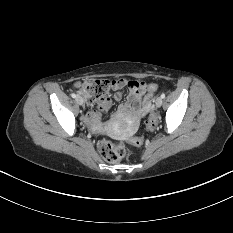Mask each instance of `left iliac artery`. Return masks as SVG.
<instances>
[{
    "instance_id": "44dca946",
    "label": "left iliac artery",
    "mask_w": 233,
    "mask_h": 233,
    "mask_svg": "<svg viewBox=\"0 0 233 233\" xmlns=\"http://www.w3.org/2000/svg\"><path fill=\"white\" fill-rule=\"evenodd\" d=\"M161 98L162 99L165 98V94L164 93L161 94Z\"/></svg>"
}]
</instances>
